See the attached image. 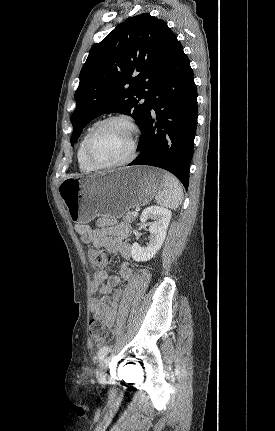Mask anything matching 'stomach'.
I'll list each match as a JSON object with an SVG mask.
<instances>
[{"label":"stomach","mask_w":275,"mask_h":431,"mask_svg":"<svg viewBox=\"0 0 275 431\" xmlns=\"http://www.w3.org/2000/svg\"><path fill=\"white\" fill-rule=\"evenodd\" d=\"M163 188V173L149 166L122 168L90 177H68L59 195L70 219L86 224L97 216L122 217L147 204Z\"/></svg>","instance_id":"0dacf381"}]
</instances>
